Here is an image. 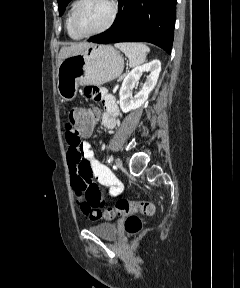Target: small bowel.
I'll use <instances>...</instances> for the list:
<instances>
[{
  "mask_svg": "<svg viewBox=\"0 0 240 288\" xmlns=\"http://www.w3.org/2000/svg\"><path fill=\"white\" fill-rule=\"evenodd\" d=\"M84 94L88 99L100 101L103 104L104 112L101 116V123L109 130L114 129L119 116L115 97L105 88L96 86H87ZM64 133L68 145L70 181L76 196L80 199L93 192L102 194L93 179L100 185L108 187L111 196L120 195L124 189L123 183L107 166L95 158L90 144L84 140L91 134V130L77 133L66 121Z\"/></svg>",
  "mask_w": 240,
  "mask_h": 288,
  "instance_id": "1",
  "label": "small bowel"
}]
</instances>
